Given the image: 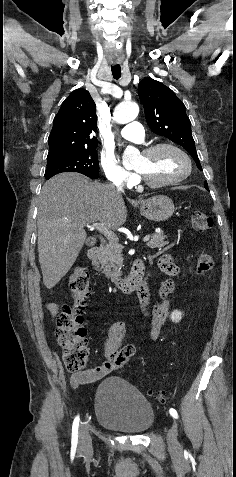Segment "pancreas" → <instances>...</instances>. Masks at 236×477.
Listing matches in <instances>:
<instances>
[{"mask_svg":"<svg viewBox=\"0 0 236 477\" xmlns=\"http://www.w3.org/2000/svg\"><path fill=\"white\" fill-rule=\"evenodd\" d=\"M166 238L162 232L154 233L147 246L162 248L169 244L168 241H165ZM122 263V246L117 240H112L100 248L97 260L93 262V265L98 271H102L107 278L115 281L122 275Z\"/></svg>","mask_w":236,"mask_h":477,"instance_id":"pancreas-1","label":"pancreas"}]
</instances>
